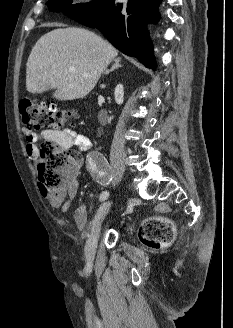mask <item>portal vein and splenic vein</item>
<instances>
[{"label": "portal vein and splenic vein", "instance_id": "obj_1", "mask_svg": "<svg viewBox=\"0 0 233 328\" xmlns=\"http://www.w3.org/2000/svg\"><path fill=\"white\" fill-rule=\"evenodd\" d=\"M70 71H71V72H76V69H75L74 67H71V68H70Z\"/></svg>", "mask_w": 233, "mask_h": 328}]
</instances>
